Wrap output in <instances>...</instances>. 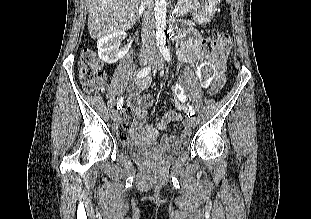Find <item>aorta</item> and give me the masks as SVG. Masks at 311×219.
<instances>
[{
  "instance_id": "aorta-1",
  "label": "aorta",
  "mask_w": 311,
  "mask_h": 219,
  "mask_svg": "<svg viewBox=\"0 0 311 219\" xmlns=\"http://www.w3.org/2000/svg\"><path fill=\"white\" fill-rule=\"evenodd\" d=\"M166 0H155L154 15L156 26V45L159 49L165 48L166 37Z\"/></svg>"
}]
</instances>
